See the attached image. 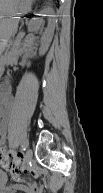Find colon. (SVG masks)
<instances>
[{
    "instance_id": "colon-1",
    "label": "colon",
    "mask_w": 103,
    "mask_h": 193,
    "mask_svg": "<svg viewBox=\"0 0 103 193\" xmlns=\"http://www.w3.org/2000/svg\"><path fill=\"white\" fill-rule=\"evenodd\" d=\"M1 167L10 173L19 175L21 173L32 171L23 161L13 152L3 150L0 156Z\"/></svg>"
}]
</instances>
